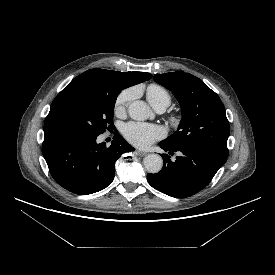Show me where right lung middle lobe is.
Here are the masks:
<instances>
[{
	"mask_svg": "<svg viewBox=\"0 0 275 275\" xmlns=\"http://www.w3.org/2000/svg\"><path fill=\"white\" fill-rule=\"evenodd\" d=\"M120 91L111 85L65 88L51 104L44 134L65 132L98 136L106 129L114 128V106Z\"/></svg>",
	"mask_w": 275,
	"mask_h": 275,
	"instance_id": "right-lung-middle-lobe-1",
	"label": "right lung middle lobe"
}]
</instances>
